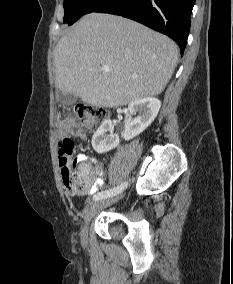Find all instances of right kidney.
<instances>
[{
  "label": "right kidney",
  "mask_w": 233,
  "mask_h": 284,
  "mask_svg": "<svg viewBox=\"0 0 233 284\" xmlns=\"http://www.w3.org/2000/svg\"><path fill=\"white\" fill-rule=\"evenodd\" d=\"M160 107V100L154 97H147L130 103L122 138L130 140L142 133L154 121ZM113 130L112 121L107 120L94 133L92 147L97 153L108 152L119 145V136L114 134Z\"/></svg>",
  "instance_id": "ca27d5eb"
}]
</instances>
